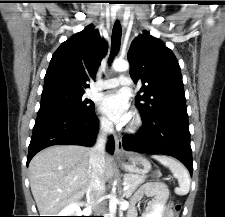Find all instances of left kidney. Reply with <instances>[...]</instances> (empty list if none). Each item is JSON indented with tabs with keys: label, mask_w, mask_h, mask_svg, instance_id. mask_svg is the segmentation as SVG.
I'll return each instance as SVG.
<instances>
[{
	"label": "left kidney",
	"mask_w": 225,
	"mask_h": 217,
	"mask_svg": "<svg viewBox=\"0 0 225 217\" xmlns=\"http://www.w3.org/2000/svg\"><path fill=\"white\" fill-rule=\"evenodd\" d=\"M163 211L164 207L162 205H157L152 212L146 214L144 217H162Z\"/></svg>",
	"instance_id": "5707ae66"
}]
</instances>
